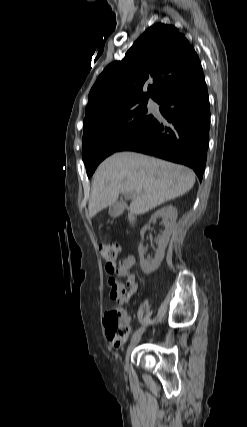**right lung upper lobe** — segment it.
<instances>
[{
	"mask_svg": "<svg viewBox=\"0 0 247 427\" xmlns=\"http://www.w3.org/2000/svg\"><path fill=\"white\" fill-rule=\"evenodd\" d=\"M202 72L200 60L179 30L158 23L146 30L121 61L109 64L89 93L84 129L117 112L157 103L174 88Z\"/></svg>",
	"mask_w": 247,
	"mask_h": 427,
	"instance_id": "right-lung-upper-lobe-1",
	"label": "right lung upper lobe"
}]
</instances>
